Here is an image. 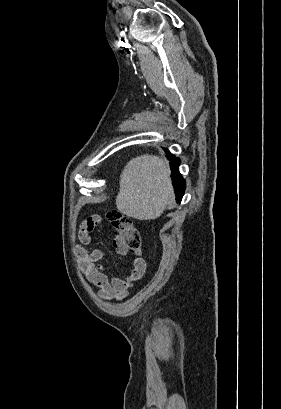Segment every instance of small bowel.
<instances>
[{
	"instance_id": "small-bowel-1",
	"label": "small bowel",
	"mask_w": 281,
	"mask_h": 409,
	"mask_svg": "<svg viewBox=\"0 0 281 409\" xmlns=\"http://www.w3.org/2000/svg\"><path fill=\"white\" fill-rule=\"evenodd\" d=\"M87 222H80V241L82 244L92 242L91 235H99L103 218L101 215H88ZM98 224L99 226H96ZM112 250L114 252H125L120 238L113 240ZM75 254L79 267L86 272L88 280L99 288L98 296L103 300H121L128 294L133 282H138L146 271V262L142 258H136L133 262V270L130 274L121 278L108 276L99 262L104 258L101 249L87 250L81 245L75 247ZM136 272V273H134Z\"/></svg>"
}]
</instances>
